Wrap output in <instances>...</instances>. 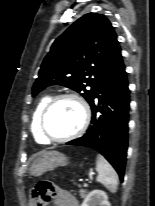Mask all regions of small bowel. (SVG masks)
<instances>
[{
	"label": "small bowel",
	"instance_id": "c3829d8e",
	"mask_svg": "<svg viewBox=\"0 0 155 206\" xmlns=\"http://www.w3.org/2000/svg\"><path fill=\"white\" fill-rule=\"evenodd\" d=\"M55 206H78L75 196L68 190L62 188H54ZM35 206H39L37 203Z\"/></svg>",
	"mask_w": 155,
	"mask_h": 206
}]
</instances>
